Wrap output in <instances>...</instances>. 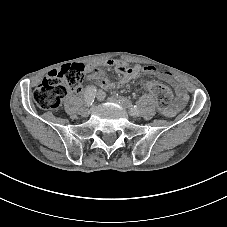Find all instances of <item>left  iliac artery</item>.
<instances>
[{
	"label": "left iliac artery",
	"instance_id": "44dca946",
	"mask_svg": "<svg viewBox=\"0 0 227 227\" xmlns=\"http://www.w3.org/2000/svg\"><path fill=\"white\" fill-rule=\"evenodd\" d=\"M120 101H122L127 107L130 108V112H131L132 115H138L139 114V108H138L137 105H132L128 100H126L124 98H122Z\"/></svg>",
	"mask_w": 227,
	"mask_h": 227
}]
</instances>
